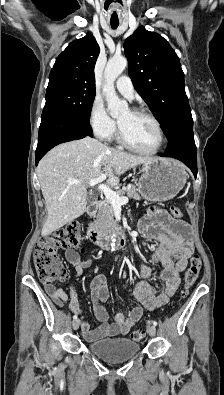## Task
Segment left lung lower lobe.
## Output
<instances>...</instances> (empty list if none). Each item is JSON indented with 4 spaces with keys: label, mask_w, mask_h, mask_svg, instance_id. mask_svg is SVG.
Returning a JSON list of instances; mask_svg holds the SVG:
<instances>
[{
    "label": "left lung lower lobe",
    "mask_w": 224,
    "mask_h": 395,
    "mask_svg": "<svg viewBox=\"0 0 224 395\" xmlns=\"http://www.w3.org/2000/svg\"><path fill=\"white\" fill-rule=\"evenodd\" d=\"M169 146L164 157H173L185 163L197 176V153L193 136V120L191 114L177 122L174 132L167 136Z\"/></svg>",
    "instance_id": "left-lung-lower-lobe-1"
}]
</instances>
